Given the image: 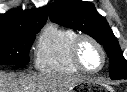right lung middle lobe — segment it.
Listing matches in <instances>:
<instances>
[{"label":"right lung middle lobe","instance_id":"obj_1","mask_svg":"<svg viewBox=\"0 0 127 92\" xmlns=\"http://www.w3.org/2000/svg\"><path fill=\"white\" fill-rule=\"evenodd\" d=\"M42 27L15 33H0V65H26L29 50L37 32Z\"/></svg>","mask_w":127,"mask_h":92}]
</instances>
